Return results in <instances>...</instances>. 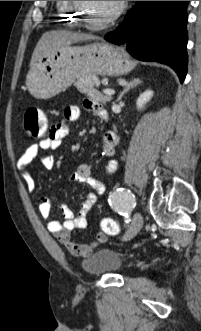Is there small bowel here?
Segmentation results:
<instances>
[{
  "label": "small bowel",
  "instance_id": "small-bowel-1",
  "mask_svg": "<svg viewBox=\"0 0 201 331\" xmlns=\"http://www.w3.org/2000/svg\"><path fill=\"white\" fill-rule=\"evenodd\" d=\"M85 108L102 119H107V112L94 99H86L84 102ZM80 116L78 106L69 105L64 109L62 118L55 124L50 126L47 135L38 143L30 145L17 160V168L26 181L28 189L33 192L35 183L29 174L28 166L37 157H40L45 166L54 165V157L52 155H42V151H54L58 149L63 139L69 132V123L76 121ZM118 144L117 134L112 130L105 131L103 135V150L108 158L106 171L108 174L113 173L117 168V162L114 159L115 148ZM71 181L80 182L88 185L95 192L102 194L105 191V186L92 175L91 167L88 164H81L77 170L71 175ZM96 201V194L89 192L81 201L79 210L75 213L68 206L61 204L60 210L64 221L50 219L52 203L50 200L42 197L38 206L40 215L48 220L47 229L51 232L58 241L67 248V250L76 257H87L93 247L98 242L90 244H78L71 238V232L75 229H84L87 226V215Z\"/></svg>",
  "mask_w": 201,
  "mask_h": 331
}]
</instances>
